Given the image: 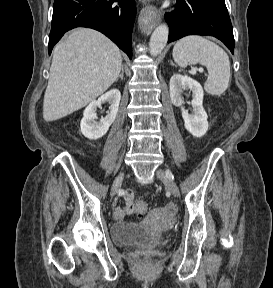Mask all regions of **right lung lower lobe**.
I'll use <instances>...</instances> for the list:
<instances>
[{"label":"right lung lower lobe","mask_w":273,"mask_h":288,"mask_svg":"<svg viewBox=\"0 0 273 288\" xmlns=\"http://www.w3.org/2000/svg\"><path fill=\"white\" fill-rule=\"evenodd\" d=\"M135 16L134 0H55L49 54L65 32L82 26L105 34L131 59Z\"/></svg>","instance_id":"obj_1"}]
</instances>
